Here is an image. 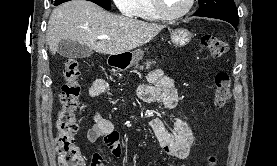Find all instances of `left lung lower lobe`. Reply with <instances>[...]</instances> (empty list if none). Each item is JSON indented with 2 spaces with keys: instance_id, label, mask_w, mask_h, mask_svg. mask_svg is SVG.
Instances as JSON below:
<instances>
[{
  "instance_id": "1",
  "label": "left lung lower lobe",
  "mask_w": 277,
  "mask_h": 166,
  "mask_svg": "<svg viewBox=\"0 0 277 166\" xmlns=\"http://www.w3.org/2000/svg\"><path fill=\"white\" fill-rule=\"evenodd\" d=\"M229 23H231L236 28V30H237V24L236 23H233V22H229Z\"/></svg>"
}]
</instances>
